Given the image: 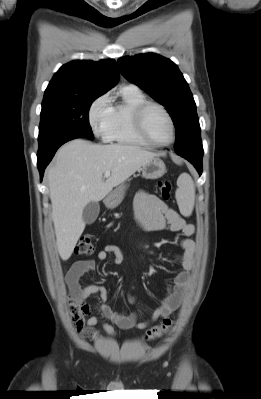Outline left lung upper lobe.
Listing matches in <instances>:
<instances>
[{
  "label": "left lung upper lobe",
  "instance_id": "1",
  "mask_svg": "<svg viewBox=\"0 0 261 399\" xmlns=\"http://www.w3.org/2000/svg\"><path fill=\"white\" fill-rule=\"evenodd\" d=\"M122 75L165 106L175 128L177 154H203L196 104L177 65L155 53L118 60Z\"/></svg>",
  "mask_w": 261,
  "mask_h": 399
}]
</instances>
